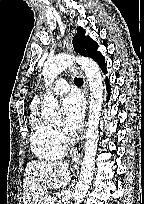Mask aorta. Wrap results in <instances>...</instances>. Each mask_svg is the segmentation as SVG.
I'll return each instance as SVG.
<instances>
[{"instance_id": "762f6f07", "label": "aorta", "mask_w": 144, "mask_h": 204, "mask_svg": "<svg viewBox=\"0 0 144 204\" xmlns=\"http://www.w3.org/2000/svg\"><path fill=\"white\" fill-rule=\"evenodd\" d=\"M76 61L84 71L90 88V110L87 123V131L85 136V154L81 164L80 177L76 184L74 192L75 204H80L85 196L95 170V158L98 145L99 121L101 116V108L103 103V83L99 66L95 61L86 57L74 58L68 54H59L49 59L43 66V78L47 92L43 99L42 114L51 121L61 119V111L58 106L57 99L50 91V86L55 78Z\"/></svg>"}]
</instances>
